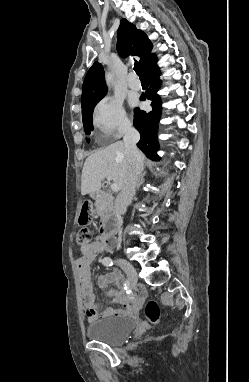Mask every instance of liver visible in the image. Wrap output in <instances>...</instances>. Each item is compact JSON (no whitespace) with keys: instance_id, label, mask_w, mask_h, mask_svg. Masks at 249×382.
I'll list each match as a JSON object with an SVG mask.
<instances>
[{"instance_id":"6515ba94","label":"liver","mask_w":249,"mask_h":382,"mask_svg":"<svg viewBox=\"0 0 249 382\" xmlns=\"http://www.w3.org/2000/svg\"><path fill=\"white\" fill-rule=\"evenodd\" d=\"M140 170L145 156L139 152ZM129 168V157L122 141H117L91 154L84 162L81 177V194L98 193L102 181L113 180L122 189Z\"/></svg>"}]
</instances>
